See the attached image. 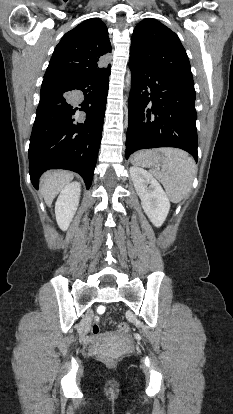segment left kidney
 I'll return each mask as SVG.
<instances>
[{"label":"left kidney","mask_w":233,"mask_h":414,"mask_svg":"<svg viewBox=\"0 0 233 414\" xmlns=\"http://www.w3.org/2000/svg\"><path fill=\"white\" fill-rule=\"evenodd\" d=\"M130 176L141 205L154 226L160 227L170 210V201L159 182L146 170L130 167Z\"/></svg>","instance_id":"obj_1"}]
</instances>
